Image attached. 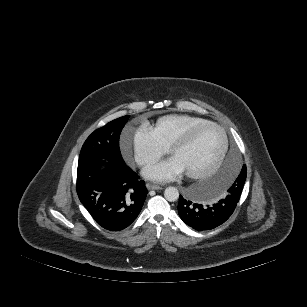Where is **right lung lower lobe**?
Listing matches in <instances>:
<instances>
[{
    "label": "right lung lower lobe",
    "instance_id": "98d812e1",
    "mask_svg": "<svg viewBox=\"0 0 307 307\" xmlns=\"http://www.w3.org/2000/svg\"><path fill=\"white\" fill-rule=\"evenodd\" d=\"M76 189L93 219L111 231L128 227L147 196L145 182L124 161L94 159L78 163Z\"/></svg>",
    "mask_w": 307,
    "mask_h": 307
}]
</instances>
